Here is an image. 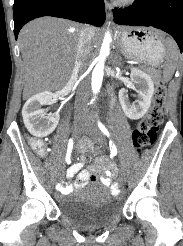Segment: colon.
Here are the masks:
<instances>
[{
    "label": "colon",
    "instance_id": "colon-1",
    "mask_svg": "<svg viewBox=\"0 0 183 246\" xmlns=\"http://www.w3.org/2000/svg\"><path fill=\"white\" fill-rule=\"evenodd\" d=\"M165 99L166 87L163 84H159L156 87L151 109L146 116L139 121L137 128L133 132V142L138 152H141L144 148L155 142L157 131L164 118L163 107ZM31 146L38 155L45 153V148L41 141L33 140ZM101 152L103 153L101 154ZM104 152L105 151H101V149L94 150L95 154H101L102 156L105 155Z\"/></svg>",
    "mask_w": 183,
    "mask_h": 246
}]
</instances>
